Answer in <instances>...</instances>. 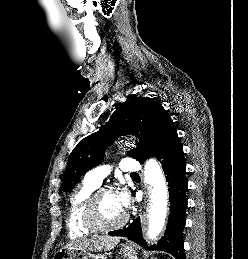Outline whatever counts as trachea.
<instances>
[{
    "mask_svg": "<svg viewBox=\"0 0 248 259\" xmlns=\"http://www.w3.org/2000/svg\"><path fill=\"white\" fill-rule=\"evenodd\" d=\"M132 175H137L136 173H132Z\"/></svg>",
    "mask_w": 248,
    "mask_h": 259,
    "instance_id": "obj_1",
    "label": "trachea"
}]
</instances>
